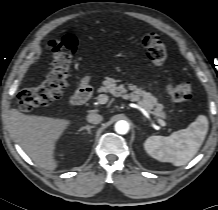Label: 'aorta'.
<instances>
[{"label":"aorta","mask_w":218,"mask_h":210,"mask_svg":"<svg viewBox=\"0 0 218 210\" xmlns=\"http://www.w3.org/2000/svg\"><path fill=\"white\" fill-rule=\"evenodd\" d=\"M115 131L118 134H126L129 131V124L125 120H120L115 124Z\"/></svg>","instance_id":"762f6f07"}]
</instances>
